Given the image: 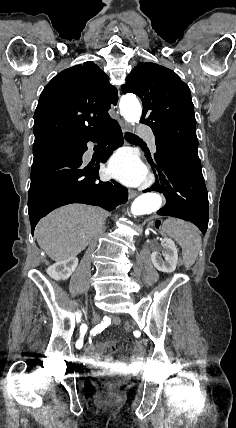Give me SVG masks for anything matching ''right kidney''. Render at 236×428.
Returning <instances> with one entry per match:
<instances>
[{
  "mask_svg": "<svg viewBox=\"0 0 236 428\" xmlns=\"http://www.w3.org/2000/svg\"><path fill=\"white\" fill-rule=\"evenodd\" d=\"M78 262L79 260L76 256H70L67 260H60V262H56L53 266H49L47 274L53 280H68L74 270H76Z\"/></svg>",
  "mask_w": 236,
  "mask_h": 428,
  "instance_id": "obj_1",
  "label": "right kidney"
}]
</instances>
